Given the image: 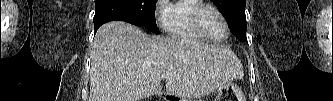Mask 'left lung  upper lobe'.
<instances>
[{
	"label": "left lung upper lobe",
	"mask_w": 333,
	"mask_h": 101,
	"mask_svg": "<svg viewBox=\"0 0 333 101\" xmlns=\"http://www.w3.org/2000/svg\"><path fill=\"white\" fill-rule=\"evenodd\" d=\"M226 19L231 32L240 41L246 40V0H212Z\"/></svg>",
	"instance_id": "1"
}]
</instances>
